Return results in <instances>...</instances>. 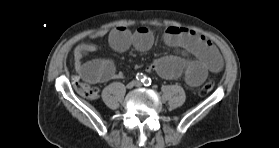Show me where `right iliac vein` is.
Segmentation results:
<instances>
[{"mask_svg": "<svg viewBox=\"0 0 279 148\" xmlns=\"http://www.w3.org/2000/svg\"><path fill=\"white\" fill-rule=\"evenodd\" d=\"M134 85H135V82H130V83L127 84V88L131 89V88L134 87Z\"/></svg>", "mask_w": 279, "mask_h": 148, "instance_id": "63e3f726", "label": "right iliac vein"}]
</instances>
